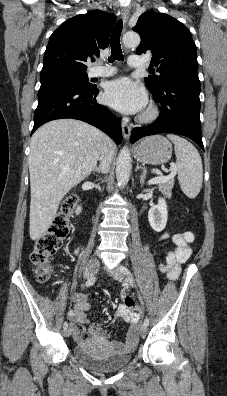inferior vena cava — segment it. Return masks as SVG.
I'll return each mask as SVG.
<instances>
[{
  "mask_svg": "<svg viewBox=\"0 0 227 396\" xmlns=\"http://www.w3.org/2000/svg\"><path fill=\"white\" fill-rule=\"evenodd\" d=\"M99 160H100V168H101L102 172L107 173L109 171L110 164L112 161V154L109 151L107 144H105L103 146L102 153H101Z\"/></svg>",
  "mask_w": 227,
  "mask_h": 396,
  "instance_id": "1",
  "label": "inferior vena cava"
}]
</instances>
